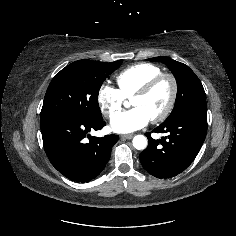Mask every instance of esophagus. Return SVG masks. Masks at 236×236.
I'll return each instance as SVG.
<instances>
[{
  "label": "esophagus",
  "mask_w": 236,
  "mask_h": 236,
  "mask_svg": "<svg viewBox=\"0 0 236 236\" xmlns=\"http://www.w3.org/2000/svg\"><path fill=\"white\" fill-rule=\"evenodd\" d=\"M133 134H126V135H121V138L122 139H131V138H133Z\"/></svg>",
  "instance_id": "esophagus-1"
}]
</instances>
